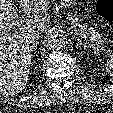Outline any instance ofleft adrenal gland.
<instances>
[{"label": "left adrenal gland", "mask_w": 113, "mask_h": 113, "mask_svg": "<svg viewBox=\"0 0 113 113\" xmlns=\"http://www.w3.org/2000/svg\"><path fill=\"white\" fill-rule=\"evenodd\" d=\"M75 38L77 39V47H81V46L86 47V44L82 43V41L77 36Z\"/></svg>", "instance_id": "1"}]
</instances>
